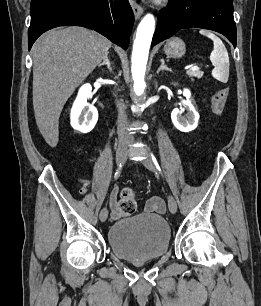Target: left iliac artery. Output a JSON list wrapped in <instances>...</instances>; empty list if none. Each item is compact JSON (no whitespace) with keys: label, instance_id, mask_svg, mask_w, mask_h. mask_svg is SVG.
I'll list each match as a JSON object with an SVG mask.
<instances>
[{"label":"left iliac artery","instance_id":"1","mask_svg":"<svg viewBox=\"0 0 261 306\" xmlns=\"http://www.w3.org/2000/svg\"><path fill=\"white\" fill-rule=\"evenodd\" d=\"M152 159H153V162H154V164L156 165V167L158 168V169H160L159 168V165H158V163H157V160H156V158L152 155Z\"/></svg>","mask_w":261,"mask_h":306}]
</instances>
